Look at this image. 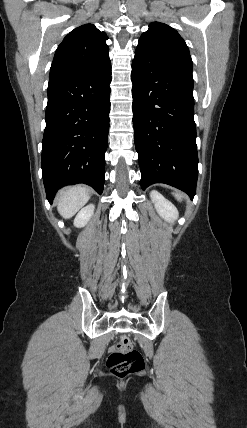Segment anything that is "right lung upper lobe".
Instances as JSON below:
<instances>
[{
    "instance_id": "right-lung-upper-lobe-1",
    "label": "right lung upper lobe",
    "mask_w": 247,
    "mask_h": 428,
    "mask_svg": "<svg viewBox=\"0 0 247 428\" xmlns=\"http://www.w3.org/2000/svg\"><path fill=\"white\" fill-rule=\"evenodd\" d=\"M104 32L85 24L71 31L58 46L50 69L49 79L82 73L109 57Z\"/></svg>"
}]
</instances>
